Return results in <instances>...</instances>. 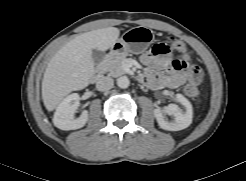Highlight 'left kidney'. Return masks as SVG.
<instances>
[{"label": "left kidney", "instance_id": "obj_1", "mask_svg": "<svg viewBox=\"0 0 246 181\" xmlns=\"http://www.w3.org/2000/svg\"><path fill=\"white\" fill-rule=\"evenodd\" d=\"M177 102L181 103L185 111L183 112L176 104L154 109V116L160 128L168 131H180L190 126L193 118V108L190 101L181 94L176 95ZM165 115L174 117V120L168 121Z\"/></svg>", "mask_w": 246, "mask_h": 181}]
</instances>
